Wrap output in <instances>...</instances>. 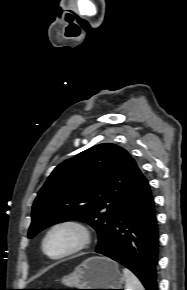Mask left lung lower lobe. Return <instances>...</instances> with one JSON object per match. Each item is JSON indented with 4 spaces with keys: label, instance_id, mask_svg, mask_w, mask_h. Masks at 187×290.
Returning a JSON list of instances; mask_svg holds the SVG:
<instances>
[{
    "label": "left lung lower lobe",
    "instance_id": "obj_1",
    "mask_svg": "<svg viewBox=\"0 0 187 290\" xmlns=\"http://www.w3.org/2000/svg\"><path fill=\"white\" fill-rule=\"evenodd\" d=\"M158 239L153 196L145 178L122 202L96 252L127 267L147 290H158Z\"/></svg>",
    "mask_w": 187,
    "mask_h": 290
}]
</instances>
